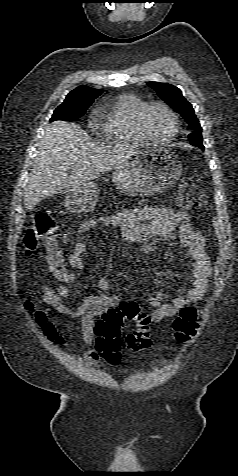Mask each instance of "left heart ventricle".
Listing matches in <instances>:
<instances>
[{
	"label": "left heart ventricle",
	"mask_w": 238,
	"mask_h": 476,
	"mask_svg": "<svg viewBox=\"0 0 238 476\" xmlns=\"http://www.w3.org/2000/svg\"><path fill=\"white\" fill-rule=\"evenodd\" d=\"M145 126L149 135L155 139L167 138L173 129V122L161 107H152L145 116Z\"/></svg>",
	"instance_id": "b2bd125f"
}]
</instances>
